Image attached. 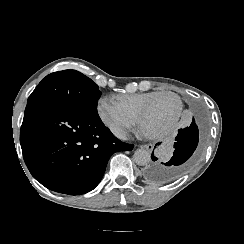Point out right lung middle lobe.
Instances as JSON below:
<instances>
[{
  "label": "right lung middle lobe",
  "mask_w": 244,
  "mask_h": 244,
  "mask_svg": "<svg viewBox=\"0 0 244 244\" xmlns=\"http://www.w3.org/2000/svg\"><path fill=\"white\" fill-rule=\"evenodd\" d=\"M100 95L98 85L90 78L76 70H64L46 76L29 96L27 103H57L88 114H97Z\"/></svg>",
  "instance_id": "dd1d6c3e"
}]
</instances>
